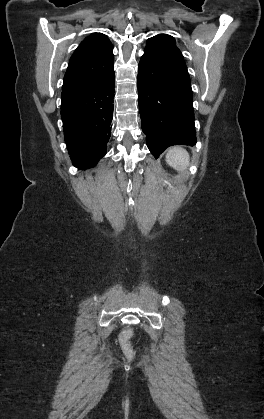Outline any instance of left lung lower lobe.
Instances as JSON below:
<instances>
[{"mask_svg":"<svg viewBox=\"0 0 264 419\" xmlns=\"http://www.w3.org/2000/svg\"><path fill=\"white\" fill-rule=\"evenodd\" d=\"M138 95L142 130L155 158L169 146L196 144L190 78L172 36L147 40L138 66Z\"/></svg>","mask_w":264,"mask_h":419,"instance_id":"left-lung-lower-lobe-1","label":"left lung lower lobe"}]
</instances>
